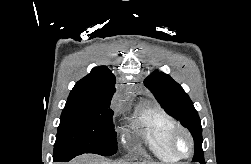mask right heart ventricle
<instances>
[{
	"label": "right heart ventricle",
	"instance_id": "obj_1",
	"mask_svg": "<svg viewBox=\"0 0 251 164\" xmlns=\"http://www.w3.org/2000/svg\"><path fill=\"white\" fill-rule=\"evenodd\" d=\"M133 125L149 151L159 160L174 163L167 147L170 132L177 126L176 120L158 105H142L133 114Z\"/></svg>",
	"mask_w": 251,
	"mask_h": 164
}]
</instances>
